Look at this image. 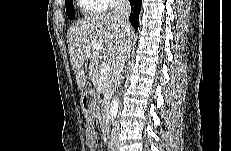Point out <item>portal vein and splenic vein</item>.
Segmentation results:
<instances>
[{
    "label": "portal vein and splenic vein",
    "instance_id": "18ae733b",
    "mask_svg": "<svg viewBox=\"0 0 231 151\" xmlns=\"http://www.w3.org/2000/svg\"><path fill=\"white\" fill-rule=\"evenodd\" d=\"M92 48L97 49V50H101V49H103V45L101 43H94V44H92ZM111 71H112V67H111L110 63L103 64L100 67V73L102 75H108Z\"/></svg>",
    "mask_w": 231,
    "mask_h": 151
}]
</instances>
